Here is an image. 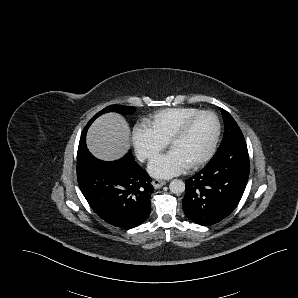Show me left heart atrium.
Segmentation results:
<instances>
[{
    "mask_svg": "<svg viewBox=\"0 0 298 298\" xmlns=\"http://www.w3.org/2000/svg\"><path fill=\"white\" fill-rule=\"evenodd\" d=\"M188 167L176 153L169 150L154 156L148 164V171L156 178L167 179L181 174Z\"/></svg>",
    "mask_w": 298,
    "mask_h": 298,
    "instance_id": "1",
    "label": "left heart atrium"
}]
</instances>
